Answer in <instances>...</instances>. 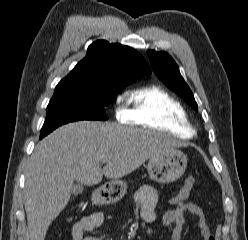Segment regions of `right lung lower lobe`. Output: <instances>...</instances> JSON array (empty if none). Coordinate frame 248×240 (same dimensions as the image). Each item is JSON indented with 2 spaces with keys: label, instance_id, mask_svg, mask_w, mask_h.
Instances as JSON below:
<instances>
[{
  "label": "right lung lower lobe",
  "instance_id": "obj_1",
  "mask_svg": "<svg viewBox=\"0 0 248 240\" xmlns=\"http://www.w3.org/2000/svg\"><path fill=\"white\" fill-rule=\"evenodd\" d=\"M46 135H40V139H42L43 137H45Z\"/></svg>",
  "mask_w": 248,
  "mask_h": 240
}]
</instances>
